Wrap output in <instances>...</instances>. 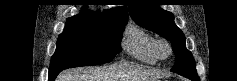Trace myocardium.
Masks as SVG:
<instances>
[{
    "label": "myocardium",
    "instance_id": "f54148a6",
    "mask_svg": "<svg viewBox=\"0 0 237 81\" xmlns=\"http://www.w3.org/2000/svg\"><path fill=\"white\" fill-rule=\"evenodd\" d=\"M155 52L160 60H167L172 54V48L168 41L160 39L156 41Z\"/></svg>",
    "mask_w": 237,
    "mask_h": 81
}]
</instances>
